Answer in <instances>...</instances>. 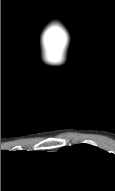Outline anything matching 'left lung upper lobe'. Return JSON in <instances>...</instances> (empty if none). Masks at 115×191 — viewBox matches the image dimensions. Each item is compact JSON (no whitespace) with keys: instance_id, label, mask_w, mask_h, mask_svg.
<instances>
[{"instance_id":"5c2ea615","label":"left lung upper lobe","mask_w":115,"mask_h":191,"mask_svg":"<svg viewBox=\"0 0 115 191\" xmlns=\"http://www.w3.org/2000/svg\"><path fill=\"white\" fill-rule=\"evenodd\" d=\"M61 151L91 158L106 154V151L89 144H76L73 146H67L61 148Z\"/></svg>"}]
</instances>
